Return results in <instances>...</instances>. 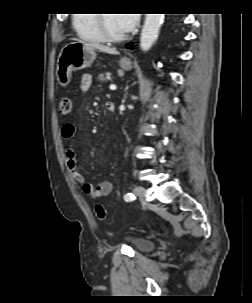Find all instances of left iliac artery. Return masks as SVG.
<instances>
[{
  "instance_id": "left-iliac-artery-1",
  "label": "left iliac artery",
  "mask_w": 252,
  "mask_h": 303,
  "mask_svg": "<svg viewBox=\"0 0 252 303\" xmlns=\"http://www.w3.org/2000/svg\"><path fill=\"white\" fill-rule=\"evenodd\" d=\"M124 199L126 201H132L134 199H136L135 195L133 193H127L125 196H124Z\"/></svg>"
}]
</instances>
